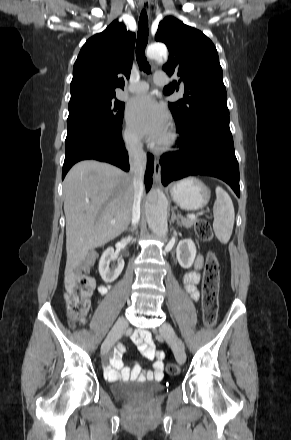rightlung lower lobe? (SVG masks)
I'll return each instance as SVG.
<instances>
[{
  "instance_id": "obj_1",
  "label": "right lung lower lobe",
  "mask_w": 291,
  "mask_h": 440,
  "mask_svg": "<svg viewBox=\"0 0 291 440\" xmlns=\"http://www.w3.org/2000/svg\"><path fill=\"white\" fill-rule=\"evenodd\" d=\"M65 140V160L62 179L78 161L95 159L116 165L124 171L129 170L128 154L121 137V124L103 128L88 123L68 125ZM153 156L147 154L145 185L148 191L152 185Z\"/></svg>"
}]
</instances>
